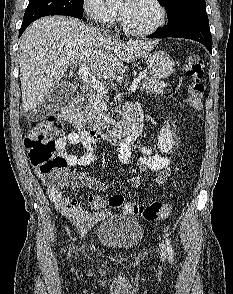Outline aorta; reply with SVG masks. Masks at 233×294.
Masks as SVG:
<instances>
[{
  "label": "aorta",
  "mask_w": 233,
  "mask_h": 294,
  "mask_svg": "<svg viewBox=\"0 0 233 294\" xmlns=\"http://www.w3.org/2000/svg\"><path fill=\"white\" fill-rule=\"evenodd\" d=\"M120 0H106V3L108 4V5H113V4H115V3H118Z\"/></svg>",
  "instance_id": "aorta-1"
}]
</instances>
